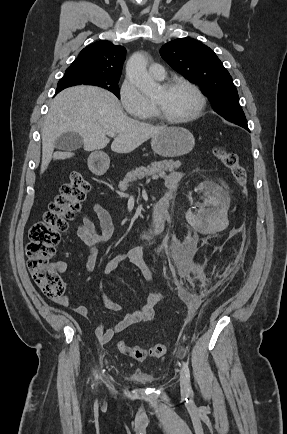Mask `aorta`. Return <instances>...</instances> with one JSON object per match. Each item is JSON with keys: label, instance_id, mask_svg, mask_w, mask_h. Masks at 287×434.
Masks as SVG:
<instances>
[{"label": "aorta", "instance_id": "762f6f07", "mask_svg": "<svg viewBox=\"0 0 287 434\" xmlns=\"http://www.w3.org/2000/svg\"><path fill=\"white\" fill-rule=\"evenodd\" d=\"M128 79L142 92L151 93L156 88L147 72V61L141 52L134 53L127 62Z\"/></svg>", "mask_w": 287, "mask_h": 434}]
</instances>
